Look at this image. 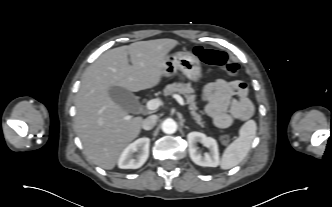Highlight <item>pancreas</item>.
Segmentation results:
<instances>
[{
	"label": "pancreas",
	"mask_w": 332,
	"mask_h": 207,
	"mask_svg": "<svg viewBox=\"0 0 332 207\" xmlns=\"http://www.w3.org/2000/svg\"><path fill=\"white\" fill-rule=\"evenodd\" d=\"M173 93L183 94L186 98V102L189 105V110L192 118L195 120L197 124L201 127L205 126V121L203 118L196 112L198 110L197 102L195 101L194 89L190 84L183 83H172L165 87L164 95H172Z\"/></svg>",
	"instance_id": "pancreas-1"
}]
</instances>
